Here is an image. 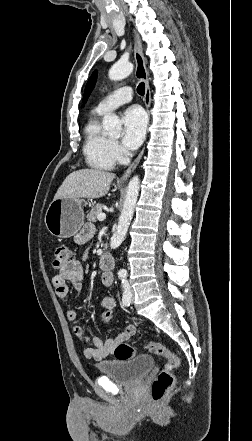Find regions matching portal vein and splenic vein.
<instances>
[{"mask_svg": "<svg viewBox=\"0 0 252 441\" xmlns=\"http://www.w3.org/2000/svg\"><path fill=\"white\" fill-rule=\"evenodd\" d=\"M97 219L99 221H104L106 219V214L105 213L98 214Z\"/></svg>", "mask_w": 252, "mask_h": 441, "instance_id": "18ae733b", "label": "portal vein and splenic vein"}]
</instances>
